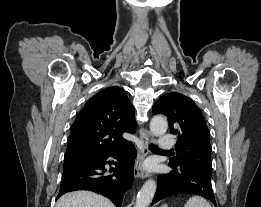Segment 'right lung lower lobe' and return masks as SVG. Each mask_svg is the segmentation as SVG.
Wrapping results in <instances>:
<instances>
[{"mask_svg": "<svg viewBox=\"0 0 261 207\" xmlns=\"http://www.w3.org/2000/svg\"><path fill=\"white\" fill-rule=\"evenodd\" d=\"M136 150L130 142L123 148L105 152L88 161L64 166L60 191L61 195L75 190H90L108 197L116 207H121L125 192L134 179ZM113 157L116 161H109ZM114 165L106 169V165Z\"/></svg>", "mask_w": 261, "mask_h": 207, "instance_id": "right-lung-lower-lobe-1", "label": "right lung lower lobe"}]
</instances>
